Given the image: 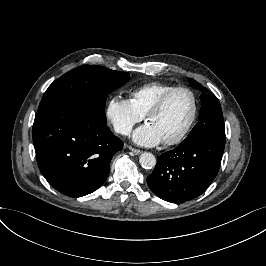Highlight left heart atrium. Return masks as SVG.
Returning a JSON list of instances; mask_svg holds the SVG:
<instances>
[{
    "mask_svg": "<svg viewBox=\"0 0 266 266\" xmlns=\"http://www.w3.org/2000/svg\"><path fill=\"white\" fill-rule=\"evenodd\" d=\"M133 139L135 142L145 146L156 145L163 141L158 130L149 122L135 130Z\"/></svg>",
    "mask_w": 266,
    "mask_h": 266,
    "instance_id": "1",
    "label": "left heart atrium"
}]
</instances>
